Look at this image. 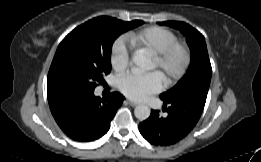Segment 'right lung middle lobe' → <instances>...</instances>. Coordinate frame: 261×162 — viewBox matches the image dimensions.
I'll list each match as a JSON object with an SVG mask.
<instances>
[{"label": "right lung middle lobe", "instance_id": "right-lung-middle-lobe-1", "mask_svg": "<svg viewBox=\"0 0 261 162\" xmlns=\"http://www.w3.org/2000/svg\"><path fill=\"white\" fill-rule=\"evenodd\" d=\"M143 21L96 17L75 28L59 44L47 79L48 101L66 92L88 93L111 71V48L123 32Z\"/></svg>", "mask_w": 261, "mask_h": 162}]
</instances>
